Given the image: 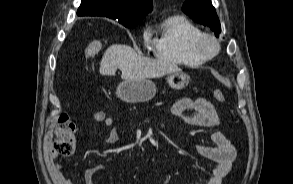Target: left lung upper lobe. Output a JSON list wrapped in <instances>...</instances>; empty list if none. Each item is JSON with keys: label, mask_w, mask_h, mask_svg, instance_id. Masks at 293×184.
<instances>
[{"label": "left lung upper lobe", "mask_w": 293, "mask_h": 184, "mask_svg": "<svg viewBox=\"0 0 293 184\" xmlns=\"http://www.w3.org/2000/svg\"><path fill=\"white\" fill-rule=\"evenodd\" d=\"M182 10L194 21L210 27L218 37L221 25L211 0H186Z\"/></svg>", "instance_id": "5c2ea615"}]
</instances>
